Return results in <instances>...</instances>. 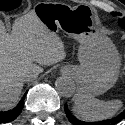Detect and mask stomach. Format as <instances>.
I'll return each instance as SVG.
<instances>
[{"instance_id":"1","label":"stomach","mask_w":125,"mask_h":125,"mask_svg":"<svg viewBox=\"0 0 125 125\" xmlns=\"http://www.w3.org/2000/svg\"><path fill=\"white\" fill-rule=\"evenodd\" d=\"M39 4L34 12L53 33L59 30L79 41V66H68L78 89L89 95H100L114 86L120 70V57L113 42L98 28L93 13L83 6Z\"/></svg>"}]
</instances>
